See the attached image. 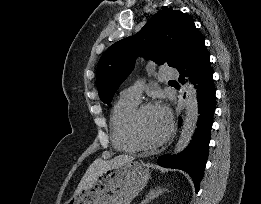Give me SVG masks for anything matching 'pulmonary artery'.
I'll return each instance as SVG.
<instances>
[{
    "label": "pulmonary artery",
    "mask_w": 261,
    "mask_h": 204,
    "mask_svg": "<svg viewBox=\"0 0 261 204\" xmlns=\"http://www.w3.org/2000/svg\"><path fill=\"white\" fill-rule=\"evenodd\" d=\"M178 77V71L172 67H163L159 72L160 81H168ZM142 85L137 83L122 91L121 97L128 100L138 101L141 98Z\"/></svg>",
    "instance_id": "pulmonary-artery-1"
}]
</instances>
